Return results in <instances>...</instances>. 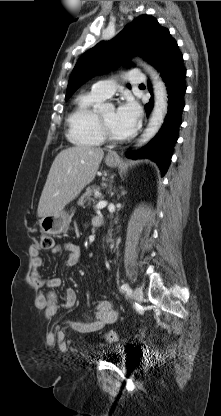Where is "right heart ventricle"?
I'll return each mask as SVG.
<instances>
[{"label":"right heart ventricle","mask_w":221,"mask_h":416,"mask_svg":"<svg viewBox=\"0 0 221 416\" xmlns=\"http://www.w3.org/2000/svg\"><path fill=\"white\" fill-rule=\"evenodd\" d=\"M105 98L88 91L81 93L68 116V138L82 146H99L104 142L100 132L96 106Z\"/></svg>","instance_id":"e07e8e85"}]
</instances>
